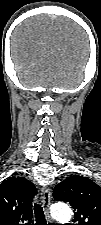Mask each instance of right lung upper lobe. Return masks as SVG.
Instances as JSON below:
<instances>
[{
  "mask_svg": "<svg viewBox=\"0 0 101 225\" xmlns=\"http://www.w3.org/2000/svg\"><path fill=\"white\" fill-rule=\"evenodd\" d=\"M37 190L25 178H9L0 184V225H32V201Z\"/></svg>",
  "mask_w": 101,
  "mask_h": 225,
  "instance_id": "cb5924a9",
  "label": "right lung upper lobe"
}]
</instances>
